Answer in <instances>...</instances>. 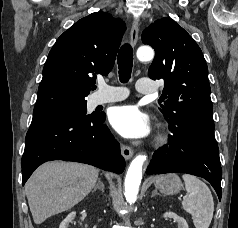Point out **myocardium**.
<instances>
[{"label":"myocardium","instance_id":"1","mask_svg":"<svg viewBox=\"0 0 238 228\" xmlns=\"http://www.w3.org/2000/svg\"><path fill=\"white\" fill-rule=\"evenodd\" d=\"M157 144H162L165 142V137L160 135L157 139H156Z\"/></svg>","mask_w":238,"mask_h":228}]
</instances>
